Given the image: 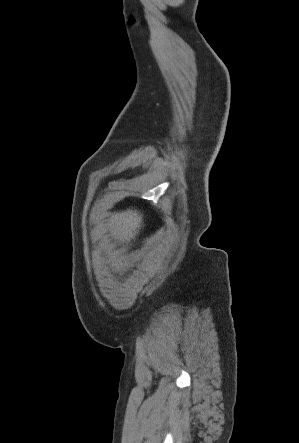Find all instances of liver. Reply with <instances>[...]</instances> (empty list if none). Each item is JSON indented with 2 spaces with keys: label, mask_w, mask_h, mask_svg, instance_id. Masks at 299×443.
I'll use <instances>...</instances> for the list:
<instances>
[{
  "label": "liver",
  "mask_w": 299,
  "mask_h": 443,
  "mask_svg": "<svg viewBox=\"0 0 299 443\" xmlns=\"http://www.w3.org/2000/svg\"><path fill=\"white\" fill-rule=\"evenodd\" d=\"M143 215L136 210L117 212L108 219L107 228L111 236L124 246L135 239L143 226Z\"/></svg>",
  "instance_id": "liver-1"
}]
</instances>
